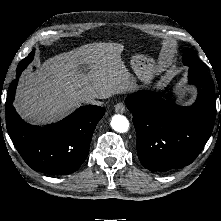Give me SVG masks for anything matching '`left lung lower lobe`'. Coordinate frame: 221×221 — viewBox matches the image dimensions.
Segmentation results:
<instances>
[{"mask_svg":"<svg viewBox=\"0 0 221 221\" xmlns=\"http://www.w3.org/2000/svg\"><path fill=\"white\" fill-rule=\"evenodd\" d=\"M189 83L198 88L189 107L172 105L158 93L139 91L125 102L133 112L137 154L142 165L164 172L191 164L208 141L216 116L214 82L205 68L190 66Z\"/></svg>","mask_w":221,"mask_h":221,"instance_id":"left-lung-lower-lobe-1","label":"left lung lower lobe"}]
</instances>
